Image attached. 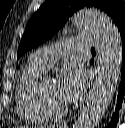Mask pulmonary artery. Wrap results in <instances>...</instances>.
I'll return each instance as SVG.
<instances>
[{"mask_svg": "<svg viewBox=\"0 0 125 128\" xmlns=\"http://www.w3.org/2000/svg\"><path fill=\"white\" fill-rule=\"evenodd\" d=\"M97 44V38L92 34H78L72 39L60 44L50 45L35 51L30 60L47 69L55 60L67 56L75 50L89 49Z\"/></svg>", "mask_w": 125, "mask_h": 128, "instance_id": "obj_1", "label": "pulmonary artery"}]
</instances>
